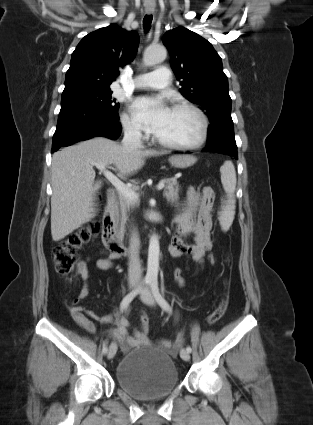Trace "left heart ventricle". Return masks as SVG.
Returning a JSON list of instances; mask_svg holds the SVG:
<instances>
[{"label":"left heart ventricle","mask_w":313,"mask_h":425,"mask_svg":"<svg viewBox=\"0 0 313 425\" xmlns=\"http://www.w3.org/2000/svg\"><path fill=\"white\" fill-rule=\"evenodd\" d=\"M201 131L199 118L188 110H170L169 116L156 136L177 144L195 142Z\"/></svg>","instance_id":"obj_1"}]
</instances>
